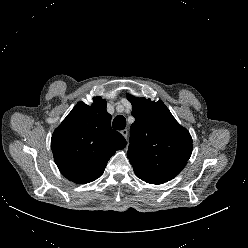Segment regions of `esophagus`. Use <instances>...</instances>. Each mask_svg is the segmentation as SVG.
I'll use <instances>...</instances> for the list:
<instances>
[{
    "instance_id": "1",
    "label": "esophagus",
    "mask_w": 248,
    "mask_h": 248,
    "mask_svg": "<svg viewBox=\"0 0 248 248\" xmlns=\"http://www.w3.org/2000/svg\"><path fill=\"white\" fill-rule=\"evenodd\" d=\"M121 134L123 135V137H124L125 139H127V137H128V130H127V129H123V130L121 131Z\"/></svg>"
}]
</instances>
